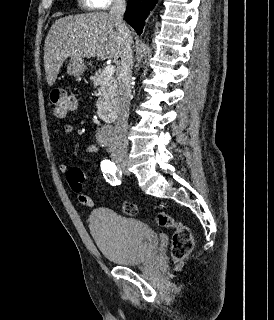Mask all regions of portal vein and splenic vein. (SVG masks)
Here are the masks:
<instances>
[{
    "label": "portal vein and splenic vein",
    "mask_w": 274,
    "mask_h": 320,
    "mask_svg": "<svg viewBox=\"0 0 274 320\" xmlns=\"http://www.w3.org/2000/svg\"><path fill=\"white\" fill-rule=\"evenodd\" d=\"M114 72V66H106L103 70V74H107V76H113Z\"/></svg>",
    "instance_id": "1"
}]
</instances>
